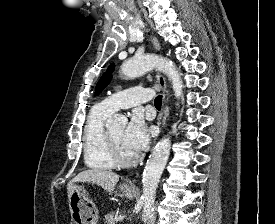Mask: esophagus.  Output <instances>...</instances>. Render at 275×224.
<instances>
[{
  "label": "esophagus",
  "mask_w": 275,
  "mask_h": 224,
  "mask_svg": "<svg viewBox=\"0 0 275 224\" xmlns=\"http://www.w3.org/2000/svg\"><path fill=\"white\" fill-rule=\"evenodd\" d=\"M151 41H152L154 47L157 50H160V45H159L158 40L155 37H151ZM157 78H158L159 85H160V87H161V89L163 91V100L165 101L166 98H167V94H168L166 80H165L164 76L161 75V74H158ZM162 116H163V113H160V115L158 117V120H157V124L159 126L161 124Z\"/></svg>",
  "instance_id": "34e87169"
}]
</instances>
